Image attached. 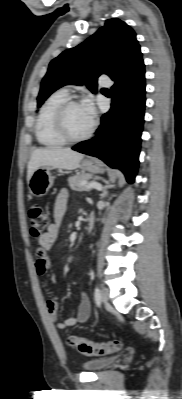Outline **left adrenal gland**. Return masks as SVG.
Here are the masks:
<instances>
[{
  "instance_id": "obj_1",
  "label": "left adrenal gland",
  "mask_w": 182,
  "mask_h": 399,
  "mask_svg": "<svg viewBox=\"0 0 182 399\" xmlns=\"http://www.w3.org/2000/svg\"><path fill=\"white\" fill-rule=\"evenodd\" d=\"M110 187H112V186H111V185H108V186H106V187L103 189V192H102V194H101V197H102V198H105V197L108 195L107 189L110 188Z\"/></svg>"
}]
</instances>
